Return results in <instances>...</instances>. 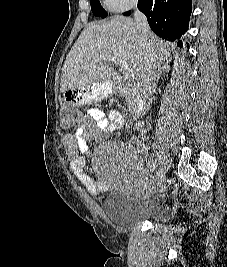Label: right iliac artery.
<instances>
[{
    "label": "right iliac artery",
    "instance_id": "obj_1",
    "mask_svg": "<svg viewBox=\"0 0 227 267\" xmlns=\"http://www.w3.org/2000/svg\"><path fill=\"white\" fill-rule=\"evenodd\" d=\"M150 170H151V172H153V171L155 170V165H154V164H152V165L150 166ZM160 173H161V170L157 171L156 176H159Z\"/></svg>",
    "mask_w": 227,
    "mask_h": 267
}]
</instances>
